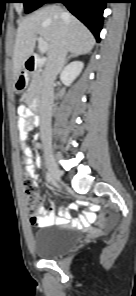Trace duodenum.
Wrapping results in <instances>:
<instances>
[{"label":"duodenum","instance_id":"410a0bca","mask_svg":"<svg viewBox=\"0 0 136 296\" xmlns=\"http://www.w3.org/2000/svg\"><path fill=\"white\" fill-rule=\"evenodd\" d=\"M44 59L39 55L30 56L25 61V69L27 73H31L36 71L42 64ZM19 82H25V77L22 75L19 78ZM35 125H39L40 121L39 118H35Z\"/></svg>","mask_w":136,"mask_h":296}]
</instances>
